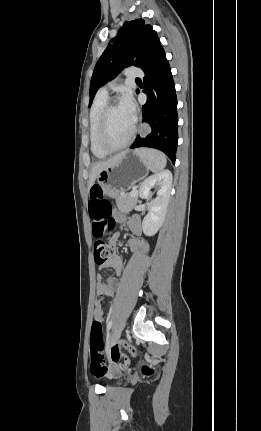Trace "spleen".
I'll list each match as a JSON object with an SVG mask.
<instances>
[{
    "mask_svg": "<svg viewBox=\"0 0 261 431\" xmlns=\"http://www.w3.org/2000/svg\"><path fill=\"white\" fill-rule=\"evenodd\" d=\"M136 151L151 171L158 172L166 166V157L160 151L153 149H138Z\"/></svg>",
    "mask_w": 261,
    "mask_h": 431,
    "instance_id": "obj_1",
    "label": "spleen"
}]
</instances>
